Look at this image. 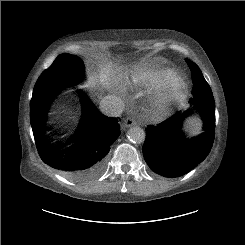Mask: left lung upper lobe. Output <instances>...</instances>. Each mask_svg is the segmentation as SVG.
Returning a JSON list of instances; mask_svg holds the SVG:
<instances>
[{
  "label": "left lung upper lobe",
  "mask_w": 245,
  "mask_h": 245,
  "mask_svg": "<svg viewBox=\"0 0 245 245\" xmlns=\"http://www.w3.org/2000/svg\"><path fill=\"white\" fill-rule=\"evenodd\" d=\"M186 62L188 63L191 69L192 80L194 84L192 91L194 98H192L191 100L199 102V100L209 99L213 94L210 86L203 77L201 70L192 61L186 59Z\"/></svg>",
  "instance_id": "left-lung-upper-lobe-1"
}]
</instances>
